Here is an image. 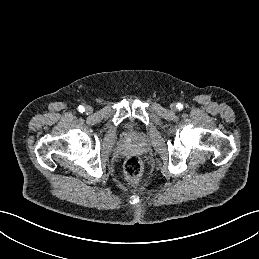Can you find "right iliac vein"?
Returning <instances> with one entry per match:
<instances>
[{"instance_id":"1","label":"right iliac vein","mask_w":259,"mask_h":259,"mask_svg":"<svg viewBox=\"0 0 259 259\" xmlns=\"http://www.w3.org/2000/svg\"><path fill=\"white\" fill-rule=\"evenodd\" d=\"M92 111H93V109L90 106L86 107V109H85L86 114H91Z\"/></svg>"}]
</instances>
